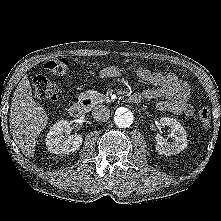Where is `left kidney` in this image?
<instances>
[{
    "mask_svg": "<svg viewBox=\"0 0 221 221\" xmlns=\"http://www.w3.org/2000/svg\"><path fill=\"white\" fill-rule=\"evenodd\" d=\"M160 125L169 126L171 129L170 138L168 142L160 134L156 135V151L161 155L177 154L187 147V133L183 126L173 118L163 117L160 119Z\"/></svg>",
    "mask_w": 221,
    "mask_h": 221,
    "instance_id": "5707ae66",
    "label": "left kidney"
}]
</instances>
